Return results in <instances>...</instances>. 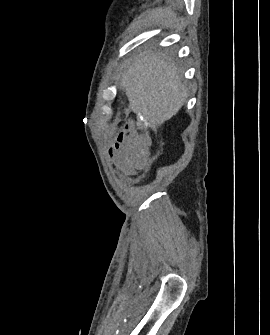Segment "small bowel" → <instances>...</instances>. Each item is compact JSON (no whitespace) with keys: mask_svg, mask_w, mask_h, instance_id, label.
Returning <instances> with one entry per match:
<instances>
[{"mask_svg":"<svg viewBox=\"0 0 270 335\" xmlns=\"http://www.w3.org/2000/svg\"><path fill=\"white\" fill-rule=\"evenodd\" d=\"M140 127V121H131L127 133L139 134ZM119 140L121 146L120 144L100 145V150H109V154H103L102 159L103 161H111L112 165H125L118 173L119 178H134L135 169H142L143 165H147L148 160L147 158H131L130 154L143 152L144 156H155L156 151L155 149H146L145 145H142V135H133L132 138L129 135H120ZM118 156H122V158H118Z\"/></svg>","mask_w":270,"mask_h":335,"instance_id":"small-bowel-1","label":"small bowel"}]
</instances>
